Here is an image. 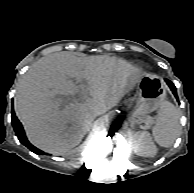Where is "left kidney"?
I'll return each instance as SVG.
<instances>
[{
    "label": "left kidney",
    "mask_w": 194,
    "mask_h": 193,
    "mask_svg": "<svg viewBox=\"0 0 194 193\" xmlns=\"http://www.w3.org/2000/svg\"><path fill=\"white\" fill-rule=\"evenodd\" d=\"M133 151L141 157H154L157 154V147L147 131H138L133 135Z\"/></svg>",
    "instance_id": "5707ae66"
}]
</instances>
